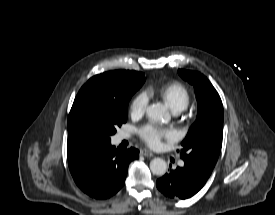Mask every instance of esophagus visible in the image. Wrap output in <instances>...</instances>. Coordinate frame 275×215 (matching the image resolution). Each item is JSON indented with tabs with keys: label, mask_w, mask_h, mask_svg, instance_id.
<instances>
[{
	"label": "esophagus",
	"mask_w": 275,
	"mask_h": 215,
	"mask_svg": "<svg viewBox=\"0 0 275 215\" xmlns=\"http://www.w3.org/2000/svg\"><path fill=\"white\" fill-rule=\"evenodd\" d=\"M140 154L147 157H152L154 155L150 150L145 148L140 150Z\"/></svg>",
	"instance_id": "1"
}]
</instances>
